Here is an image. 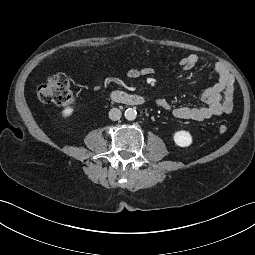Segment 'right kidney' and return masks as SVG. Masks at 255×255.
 I'll return each instance as SVG.
<instances>
[{
    "instance_id": "right-kidney-1",
    "label": "right kidney",
    "mask_w": 255,
    "mask_h": 255,
    "mask_svg": "<svg viewBox=\"0 0 255 255\" xmlns=\"http://www.w3.org/2000/svg\"><path fill=\"white\" fill-rule=\"evenodd\" d=\"M73 112H74V109L71 107H68L62 110L61 115L63 118H68L73 114Z\"/></svg>"
}]
</instances>
